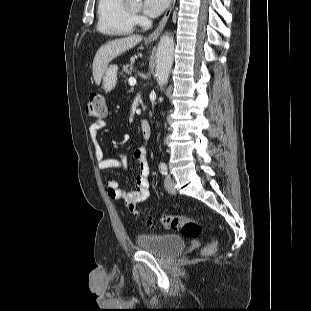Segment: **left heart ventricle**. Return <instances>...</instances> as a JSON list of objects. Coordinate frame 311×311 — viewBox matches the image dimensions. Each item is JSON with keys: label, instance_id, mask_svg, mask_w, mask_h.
Instances as JSON below:
<instances>
[{"label": "left heart ventricle", "instance_id": "left-heart-ventricle-1", "mask_svg": "<svg viewBox=\"0 0 311 311\" xmlns=\"http://www.w3.org/2000/svg\"><path fill=\"white\" fill-rule=\"evenodd\" d=\"M128 5L134 11H138L140 8V2H137V1H131L128 3Z\"/></svg>", "mask_w": 311, "mask_h": 311}]
</instances>
